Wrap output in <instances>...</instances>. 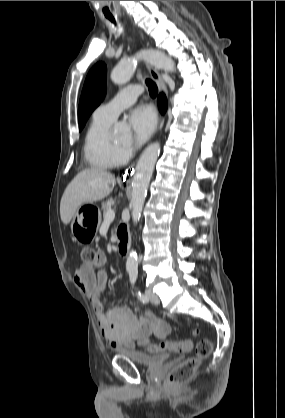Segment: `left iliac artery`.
Wrapping results in <instances>:
<instances>
[{
	"label": "left iliac artery",
	"mask_w": 285,
	"mask_h": 418,
	"mask_svg": "<svg viewBox=\"0 0 285 418\" xmlns=\"http://www.w3.org/2000/svg\"><path fill=\"white\" fill-rule=\"evenodd\" d=\"M129 276H130V282L132 285L136 283V280L138 278V270H129ZM138 299L142 301L143 303L148 302V297L141 292L137 293Z\"/></svg>",
	"instance_id": "obj_1"
}]
</instances>
